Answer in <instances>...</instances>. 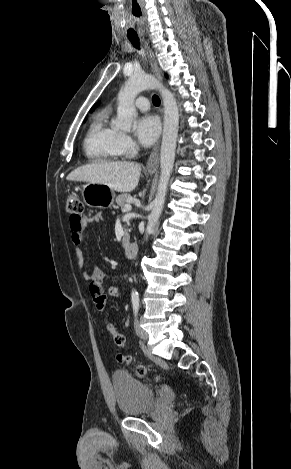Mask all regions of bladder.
Returning a JSON list of instances; mask_svg holds the SVG:
<instances>
[{
  "label": "bladder",
  "mask_w": 291,
  "mask_h": 469,
  "mask_svg": "<svg viewBox=\"0 0 291 469\" xmlns=\"http://www.w3.org/2000/svg\"><path fill=\"white\" fill-rule=\"evenodd\" d=\"M112 387L117 408L124 416L145 414L155 404L154 390L125 371L112 374Z\"/></svg>",
  "instance_id": "bladder-1"
}]
</instances>
